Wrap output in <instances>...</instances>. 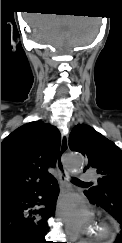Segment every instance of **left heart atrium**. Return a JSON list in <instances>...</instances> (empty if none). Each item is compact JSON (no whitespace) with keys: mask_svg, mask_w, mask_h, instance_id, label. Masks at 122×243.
<instances>
[{"mask_svg":"<svg viewBox=\"0 0 122 243\" xmlns=\"http://www.w3.org/2000/svg\"><path fill=\"white\" fill-rule=\"evenodd\" d=\"M61 211L67 222L75 229L85 230L92 222L91 214L86 209L78 207L74 199L63 202Z\"/></svg>","mask_w":122,"mask_h":243,"instance_id":"1","label":"left heart atrium"}]
</instances>
